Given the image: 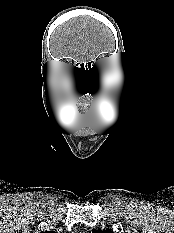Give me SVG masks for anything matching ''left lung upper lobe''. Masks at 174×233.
<instances>
[{"label":"left lung upper lobe","instance_id":"obj_1","mask_svg":"<svg viewBox=\"0 0 174 233\" xmlns=\"http://www.w3.org/2000/svg\"><path fill=\"white\" fill-rule=\"evenodd\" d=\"M92 233H113V231L110 230V229H106V230H96V229H93Z\"/></svg>","mask_w":174,"mask_h":233}]
</instances>
